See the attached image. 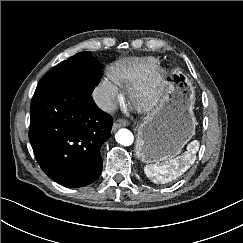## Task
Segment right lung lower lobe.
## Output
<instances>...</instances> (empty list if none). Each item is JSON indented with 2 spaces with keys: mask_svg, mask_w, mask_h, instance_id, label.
<instances>
[{
  "mask_svg": "<svg viewBox=\"0 0 243 243\" xmlns=\"http://www.w3.org/2000/svg\"><path fill=\"white\" fill-rule=\"evenodd\" d=\"M95 85H38L31 101L29 140L41 169L71 188L101 174L100 148L111 136L113 119L94 103Z\"/></svg>",
  "mask_w": 243,
  "mask_h": 243,
  "instance_id": "1",
  "label": "right lung lower lobe"
}]
</instances>
